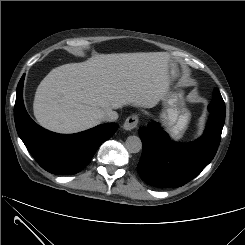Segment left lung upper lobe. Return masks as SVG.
<instances>
[{
  "label": "left lung upper lobe",
  "instance_id": "5c2ea615",
  "mask_svg": "<svg viewBox=\"0 0 245 245\" xmlns=\"http://www.w3.org/2000/svg\"><path fill=\"white\" fill-rule=\"evenodd\" d=\"M209 111L225 117V103L217 88L214 89L213 99L208 106Z\"/></svg>",
  "mask_w": 245,
  "mask_h": 245
}]
</instances>
